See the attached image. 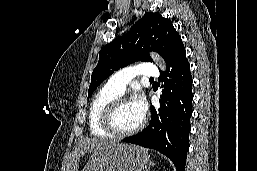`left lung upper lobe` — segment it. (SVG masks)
<instances>
[{
    "label": "left lung upper lobe",
    "instance_id": "left-lung-upper-lobe-1",
    "mask_svg": "<svg viewBox=\"0 0 257 171\" xmlns=\"http://www.w3.org/2000/svg\"><path fill=\"white\" fill-rule=\"evenodd\" d=\"M172 23L157 13L147 12L128 33L105 45L91 75L88 98L97 86L118 70L135 61H152L149 51L158 52L165 62L183 48Z\"/></svg>",
    "mask_w": 257,
    "mask_h": 171
}]
</instances>
